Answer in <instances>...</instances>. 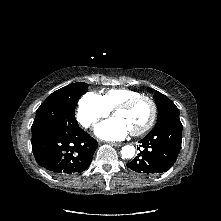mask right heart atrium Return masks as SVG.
Returning <instances> with one entry per match:
<instances>
[{"label": "right heart atrium", "mask_w": 221, "mask_h": 221, "mask_svg": "<svg viewBox=\"0 0 221 221\" xmlns=\"http://www.w3.org/2000/svg\"><path fill=\"white\" fill-rule=\"evenodd\" d=\"M110 110L102 97L93 92L85 93L78 102L77 120L86 129H92L102 118L107 117Z\"/></svg>", "instance_id": "obj_1"}]
</instances>
